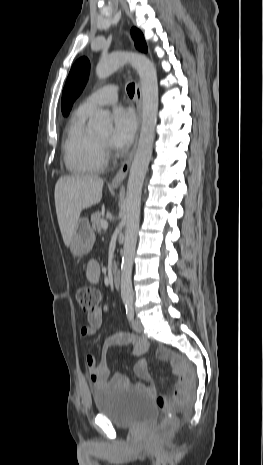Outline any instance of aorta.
<instances>
[{
	"instance_id": "obj_1",
	"label": "aorta",
	"mask_w": 263,
	"mask_h": 465,
	"mask_svg": "<svg viewBox=\"0 0 263 465\" xmlns=\"http://www.w3.org/2000/svg\"><path fill=\"white\" fill-rule=\"evenodd\" d=\"M129 63L139 74L142 95V125L138 147L130 168L126 192V228L121 264V297L124 303H132V267L137 244L140 222L141 194L146 172L151 159L155 139L158 113L157 72L145 55L130 52H114L101 59L96 66V75L105 79L121 66ZM97 133H106L112 129L110 114L97 110L90 121Z\"/></svg>"
}]
</instances>
